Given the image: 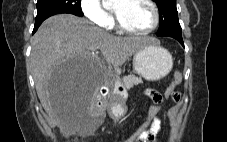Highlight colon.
Here are the masks:
<instances>
[{
	"mask_svg": "<svg viewBox=\"0 0 227 142\" xmlns=\"http://www.w3.org/2000/svg\"><path fill=\"white\" fill-rule=\"evenodd\" d=\"M182 79L181 73L177 72L174 74L173 80L167 90L165 91V97H169L173 93V89L176 84H178ZM160 104H153L151 105L140 124L130 133L125 135L121 140L118 142H138L139 138L149 129L151 124L157 118L158 113L161 110Z\"/></svg>",
	"mask_w": 227,
	"mask_h": 142,
	"instance_id": "obj_1",
	"label": "colon"
}]
</instances>
